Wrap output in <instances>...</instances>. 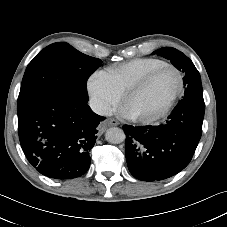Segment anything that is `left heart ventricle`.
Here are the masks:
<instances>
[{
  "instance_id": "1",
  "label": "left heart ventricle",
  "mask_w": 227,
  "mask_h": 227,
  "mask_svg": "<svg viewBox=\"0 0 227 227\" xmlns=\"http://www.w3.org/2000/svg\"><path fill=\"white\" fill-rule=\"evenodd\" d=\"M179 85L177 73L166 69L159 73L141 92L126 103L133 115L150 116L160 112L173 97Z\"/></svg>"
}]
</instances>
